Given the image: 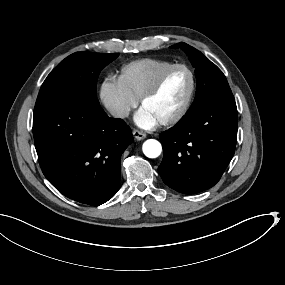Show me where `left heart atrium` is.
<instances>
[{
    "label": "left heart atrium",
    "instance_id": "39dd6f15",
    "mask_svg": "<svg viewBox=\"0 0 285 285\" xmlns=\"http://www.w3.org/2000/svg\"><path fill=\"white\" fill-rule=\"evenodd\" d=\"M135 122L145 128L156 127L159 123V119L143 105L138 109L134 116Z\"/></svg>",
    "mask_w": 285,
    "mask_h": 285
}]
</instances>
